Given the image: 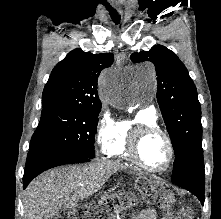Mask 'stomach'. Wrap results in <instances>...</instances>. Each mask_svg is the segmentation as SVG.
Wrapping results in <instances>:
<instances>
[{
	"label": "stomach",
	"mask_w": 221,
	"mask_h": 219,
	"mask_svg": "<svg viewBox=\"0 0 221 219\" xmlns=\"http://www.w3.org/2000/svg\"><path fill=\"white\" fill-rule=\"evenodd\" d=\"M140 183H149L143 190L144 204H165V199H170V190H164L160 178H140Z\"/></svg>",
	"instance_id": "obj_1"
}]
</instances>
